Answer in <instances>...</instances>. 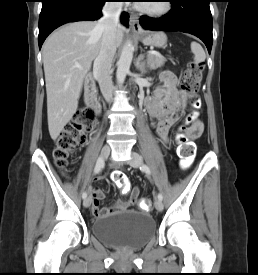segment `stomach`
Returning <instances> with one entry per match:
<instances>
[{
    "mask_svg": "<svg viewBox=\"0 0 258 275\" xmlns=\"http://www.w3.org/2000/svg\"><path fill=\"white\" fill-rule=\"evenodd\" d=\"M138 35L144 45L161 48L167 43V36L162 31L140 33Z\"/></svg>",
    "mask_w": 258,
    "mask_h": 275,
    "instance_id": "1",
    "label": "stomach"
}]
</instances>
